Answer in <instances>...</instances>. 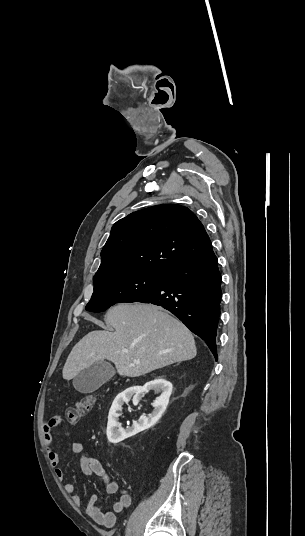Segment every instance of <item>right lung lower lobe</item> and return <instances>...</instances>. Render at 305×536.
<instances>
[{
	"label": "right lung lower lobe",
	"instance_id": "1",
	"mask_svg": "<svg viewBox=\"0 0 305 536\" xmlns=\"http://www.w3.org/2000/svg\"><path fill=\"white\" fill-rule=\"evenodd\" d=\"M221 274L213 251L180 265L149 294L136 302L164 307L201 337L217 359L216 335L220 316Z\"/></svg>",
	"mask_w": 305,
	"mask_h": 536
}]
</instances>
